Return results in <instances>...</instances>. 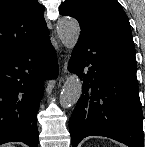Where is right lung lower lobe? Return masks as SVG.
<instances>
[{
  "instance_id": "obj_1",
  "label": "right lung lower lobe",
  "mask_w": 145,
  "mask_h": 147,
  "mask_svg": "<svg viewBox=\"0 0 145 147\" xmlns=\"http://www.w3.org/2000/svg\"><path fill=\"white\" fill-rule=\"evenodd\" d=\"M58 75L49 35L0 58V145L23 142L38 147L36 114L43 81Z\"/></svg>"
}]
</instances>
